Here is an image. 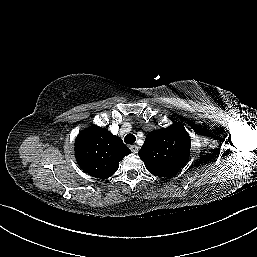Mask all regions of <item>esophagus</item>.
<instances>
[{
  "mask_svg": "<svg viewBox=\"0 0 257 257\" xmlns=\"http://www.w3.org/2000/svg\"><path fill=\"white\" fill-rule=\"evenodd\" d=\"M130 149H131V151H132L133 153H137L138 150H139V147H138L137 145H131V146H130Z\"/></svg>",
  "mask_w": 257,
  "mask_h": 257,
  "instance_id": "obj_1",
  "label": "esophagus"
}]
</instances>
